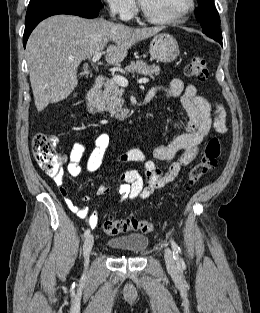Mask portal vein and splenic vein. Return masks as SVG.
Listing matches in <instances>:
<instances>
[{
  "mask_svg": "<svg viewBox=\"0 0 260 313\" xmlns=\"http://www.w3.org/2000/svg\"><path fill=\"white\" fill-rule=\"evenodd\" d=\"M101 56H102V53H101V52L96 53V54L92 57V61H93L94 63H96L97 61L100 60ZM71 59H73V58H71ZM114 80H115V82H116L118 85H120V86H122V87L128 86V80H127L125 77H123V76L115 75V76H114ZM138 82H139V83H148V82H149V79H147V78H141V79L138 80Z\"/></svg>",
  "mask_w": 260,
  "mask_h": 313,
  "instance_id": "obj_1",
  "label": "portal vein and splenic vein"
}]
</instances>
